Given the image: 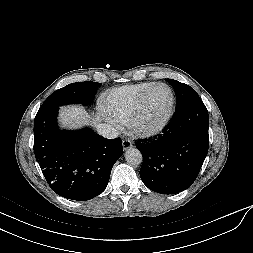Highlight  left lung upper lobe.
<instances>
[{
	"instance_id": "1",
	"label": "left lung upper lobe",
	"mask_w": 253,
	"mask_h": 253,
	"mask_svg": "<svg viewBox=\"0 0 253 253\" xmlns=\"http://www.w3.org/2000/svg\"><path fill=\"white\" fill-rule=\"evenodd\" d=\"M174 88L177 97V110L192 103L200 102L197 92L190 86L173 79H166Z\"/></svg>"
}]
</instances>
